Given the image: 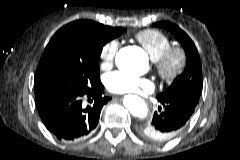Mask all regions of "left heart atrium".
I'll return each mask as SVG.
<instances>
[{
    "mask_svg": "<svg viewBox=\"0 0 240 160\" xmlns=\"http://www.w3.org/2000/svg\"><path fill=\"white\" fill-rule=\"evenodd\" d=\"M108 89L115 93H132L139 90L151 91L153 84L148 79L136 78L121 72H114L107 77Z\"/></svg>",
    "mask_w": 240,
    "mask_h": 160,
    "instance_id": "left-heart-atrium-1",
    "label": "left heart atrium"
}]
</instances>
